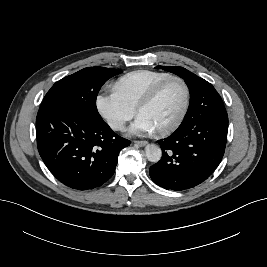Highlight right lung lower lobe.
<instances>
[{
	"label": "right lung lower lobe",
	"mask_w": 267,
	"mask_h": 267,
	"mask_svg": "<svg viewBox=\"0 0 267 267\" xmlns=\"http://www.w3.org/2000/svg\"><path fill=\"white\" fill-rule=\"evenodd\" d=\"M36 135L47 168L61 183L76 190L93 189L108 181L119 152L130 145L103 120L91 121L49 102L39 108Z\"/></svg>",
	"instance_id": "right-lung-lower-lobe-1"
}]
</instances>
